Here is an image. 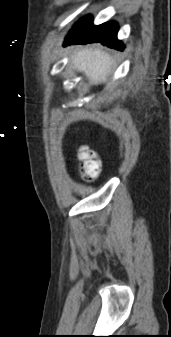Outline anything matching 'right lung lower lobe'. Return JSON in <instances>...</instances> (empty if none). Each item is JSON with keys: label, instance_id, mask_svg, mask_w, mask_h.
Returning <instances> with one entry per match:
<instances>
[{"label": "right lung lower lobe", "instance_id": "obj_1", "mask_svg": "<svg viewBox=\"0 0 171 337\" xmlns=\"http://www.w3.org/2000/svg\"><path fill=\"white\" fill-rule=\"evenodd\" d=\"M118 26L114 22L94 26L92 17L87 16L77 22L65 39L64 46L71 44L102 43L117 50H123L121 41L117 40Z\"/></svg>", "mask_w": 171, "mask_h": 337}]
</instances>
